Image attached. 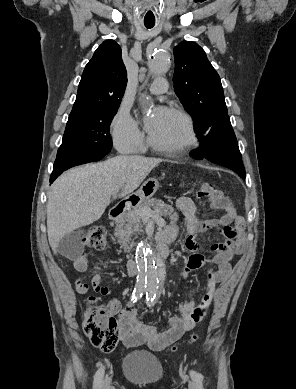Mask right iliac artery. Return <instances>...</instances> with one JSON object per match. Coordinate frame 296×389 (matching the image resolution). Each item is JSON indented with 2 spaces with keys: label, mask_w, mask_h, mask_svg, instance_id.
Listing matches in <instances>:
<instances>
[{
  "label": "right iliac artery",
  "mask_w": 296,
  "mask_h": 389,
  "mask_svg": "<svg viewBox=\"0 0 296 389\" xmlns=\"http://www.w3.org/2000/svg\"><path fill=\"white\" fill-rule=\"evenodd\" d=\"M143 288H137L133 291V295H132V301L133 303L136 302V300L142 296L143 294ZM103 376H104V368H100L95 376H94V389H100L101 388V384H102V380H103Z\"/></svg>",
  "instance_id": "1"
}]
</instances>
